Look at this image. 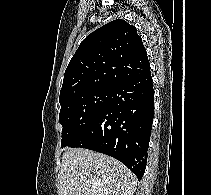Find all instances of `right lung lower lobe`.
<instances>
[{"label": "right lung lower lobe", "instance_id": "obj_1", "mask_svg": "<svg viewBox=\"0 0 211 195\" xmlns=\"http://www.w3.org/2000/svg\"><path fill=\"white\" fill-rule=\"evenodd\" d=\"M153 116L154 90L149 70L111 87L107 106L70 147L112 156L141 179L146 168Z\"/></svg>", "mask_w": 211, "mask_h": 195}]
</instances>
